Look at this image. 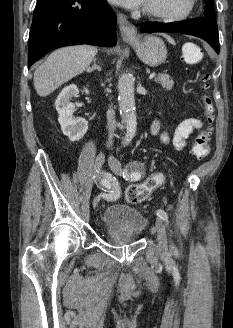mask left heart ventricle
<instances>
[{"mask_svg": "<svg viewBox=\"0 0 233 328\" xmlns=\"http://www.w3.org/2000/svg\"><path fill=\"white\" fill-rule=\"evenodd\" d=\"M187 0H147L145 7L170 14H177L184 10Z\"/></svg>", "mask_w": 233, "mask_h": 328, "instance_id": "obj_1", "label": "left heart ventricle"}]
</instances>
